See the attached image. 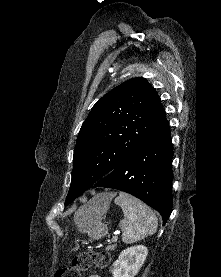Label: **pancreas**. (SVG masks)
<instances>
[{"instance_id": "1", "label": "pancreas", "mask_w": 221, "mask_h": 277, "mask_svg": "<svg viewBox=\"0 0 221 277\" xmlns=\"http://www.w3.org/2000/svg\"><path fill=\"white\" fill-rule=\"evenodd\" d=\"M113 248H114V246H110L106 250H110V249H113Z\"/></svg>"}]
</instances>
